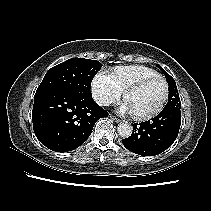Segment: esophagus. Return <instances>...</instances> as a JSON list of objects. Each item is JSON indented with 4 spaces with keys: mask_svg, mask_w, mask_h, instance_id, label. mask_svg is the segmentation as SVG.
<instances>
[{
    "mask_svg": "<svg viewBox=\"0 0 211 211\" xmlns=\"http://www.w3.org/2000/svg\"><path fill=\"white\" fill-rule=\"evenodd\" d=\"M110 118H111L113 121L117 122V123L121 122V120H120L119 118H117V117H115V116H113V115H110Z\"/></svg>",
    "mask_w": 211,
    "mask_h": 211,
    "instance_id": "1",
    "label": "esophagus"
}]
</instances>
